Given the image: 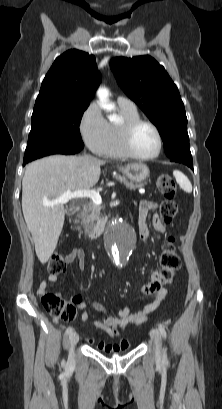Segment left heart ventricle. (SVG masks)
I'll use <instances>...</instances> for the list:
<instances>
[{
  "mask_svg": "<svg viewBox=\"0 0 222 409\" xmlns=\"http://www.w3.org/2000/svg\"><path fill=\"white\" fill-rule=\"evenodd\" d=\"M131 142L134 151L143 156L155 153L158 148V137L148 125H140L134 131Z\"/></svg>",
  "mask_w": 222,
  "mask_h": 409,
  "instance_id": "1",
  "label": "left heart ventricle"
}]
</instances>
